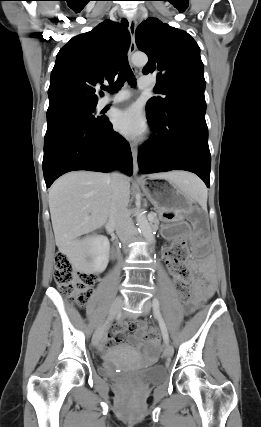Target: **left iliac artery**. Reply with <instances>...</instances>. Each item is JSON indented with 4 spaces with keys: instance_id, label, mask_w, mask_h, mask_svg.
<instances>
[{
    "instance_id": "44dca946",
    "label": "left iliac artery",
    "mask_w": 261,
    "mask_h": 427,
    "mask_svg": "<svg viewBox=\"0 0 261 427\" xmlns=\"http://www.w3.org/2000/svg\"><path fill=\"white\" fill-rule=\"evenodd\" d=\"M152 306H153L154 315L159 322V326H160V329L162 332L163 339H164L165 343H167L169 341L168 331H167V327H166V324L164 322V319L162 317V314L160 312V304H159V301L157 298L153 299Z\"/></svg>"
}]
</instances>
